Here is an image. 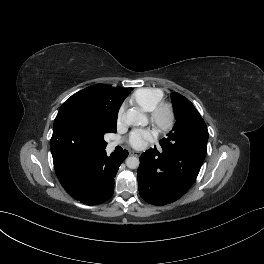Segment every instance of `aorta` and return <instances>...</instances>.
Segmentation results:
<instances>
[{
    "instance_id": "1",
    "label": "aorta",
    "mask_w": 264,
    "mask_h": 264,
    "mask_svg": "<svg viewBox=\"0 0 264 264\" xmlns=\"http://www.w3.org/2000/svg\"><path fill=\"white\" fill-rule=\"evenodd\" d=\"M123 121L129 126H146L148 123L147 117L139 111L131 108L123 115ZM139 159L134 156L127 157L126 165L130 169H136L139 166Z\"/></svg>"
}]
</instances>
